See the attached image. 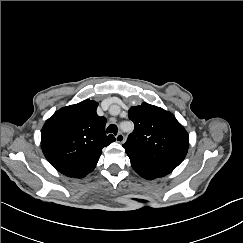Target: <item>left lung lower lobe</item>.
<instances>
[{
  "instance_id": "1",
  "label": "left lung lower lobe",
  "mask_w": 243,
  "mask_h": 243,
  "mask_svg": "<svg viewBox=\"0 0 243 243\" xmlns=\"http://www.w3.org/2000/svg\"><path fill=\"white\" fill-rule=\"evenodd\" d=\"M129 158L131 161V165L136 173L148 180L163 177L176 168L170 165L143 161L133 156H129Z\"/></svg>"
}]
</instances>
